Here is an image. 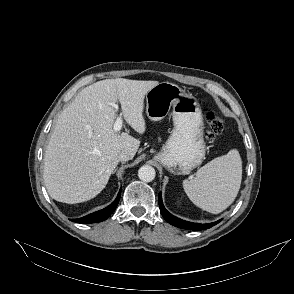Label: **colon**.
<instances>
[{"instance_id": "obj_1", "label": "colon", "mask_w": 294, "mask_h": 294, "mask_svg": "<svg viewBox=\"0 0 294 294\" xmlns=\"http://www.w3.org/2000/svg\"><path fill=\"white\" fill-rule=\"evenodd\" d=\"M225 127V123L221 117H219L216 113L210 112L207 115V129H206V137L208 139H213L217 135H219Z\"/></svg>"}]
</instances>
